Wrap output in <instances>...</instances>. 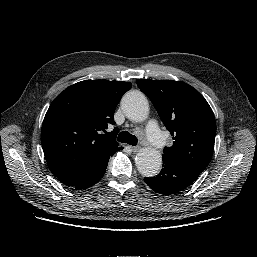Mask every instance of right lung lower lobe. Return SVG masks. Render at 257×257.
<instances>
[{
    "mask_svg": "<svg viewBox=\"0 0 257 257\" xmlns=\"http://www.w3.org/2000/svg\"><path fill=\"white\" fill-rule=\"evenodd\" d=\"M108 160L109 159L104 161L99 168H97L95 171L91 172L89 175H87L86 177H84L83 179H81L80 181H78L76 184L72 186L78 190H81L96 184L101 179V177L105 174Z\"/></svg>",
    "mask_w": 257,
    "mask_h": 257,
    "instance_id": "1",
    "label": "right lung lower lobe"
}]
</instances>
